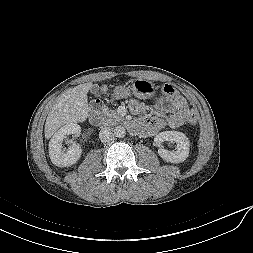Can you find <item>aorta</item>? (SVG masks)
I'll list each match as a JSON object with an SVG mask.
<instances>
[{"label":"aorta","mask_w":253,"mask_h":253,"mask_svg":"<svg viewBox=\"0 0 253 253\" xmlns=\"http://www.w3.org/2000/svg\"><path fill=\"white\" fill-rule=\"evenodd\" d=\"M114 136L117 138H123L126 134L125 128L123 126H117L115 127L114 131Z\"/></svg>","instance_id":"obj_1"}]
</instances>
